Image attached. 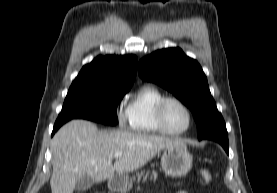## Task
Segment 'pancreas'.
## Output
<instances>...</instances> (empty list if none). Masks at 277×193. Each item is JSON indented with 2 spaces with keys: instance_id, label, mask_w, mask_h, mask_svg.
<instances>
[{
  "instance_id": "1",
  "label": "pancreas",
  "mask_w": 277,
  "mask_h": 193,
  "mask_svg": "<svg viewBox=\"0 0 277 193\" xmlns=\"http://www.w3.org/2000/svg\"><path fill=\"white\" fill-rule=\"evenodd\" d=\"M148 177H150V179L156 180L158 177V173L156 171L150 172L149 170H140L136 173V176L131 177L130 184H132V182L135 181L136 178L140 180L141 178L146 179Z\"/></svg>"
}]
</instances>
